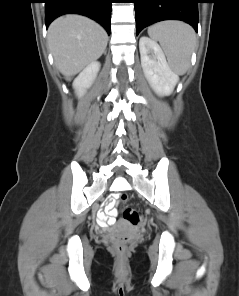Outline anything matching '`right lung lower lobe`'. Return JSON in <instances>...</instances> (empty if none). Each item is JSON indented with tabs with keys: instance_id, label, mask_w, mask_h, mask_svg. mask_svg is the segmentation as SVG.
Wrapping results in <instances>:
<instances>
[{
	"instance_id": "right-lung-lower-lobe-1",
	"label": "right lung lower lobe",
	"mask_w": 239,
	"mask_h": 296,
	"mask_svg": "<svg viewBox=\"0 0 239 296\" xmlns=\"http://www.w3.org/2000/svg\"><path fill=\"white\" fill-rule=\"evenodd\" d=\"M44 2L46 28L55 18L63 14L75 13L97 21L110 34L113 0H44Z\"/></svg>"
}]
</instances>
